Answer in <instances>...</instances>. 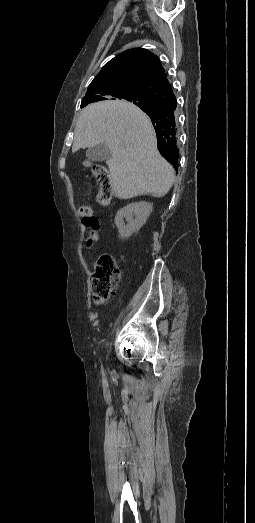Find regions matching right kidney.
Instances as JSON below:
<instances>
[{"label":"right kidney","instance_id":"obj_1","mask_svg":"<svg viewBox=\"0 0 255 523\" xmlns=\"http://www.w3.org/2000/svg\"><path fill=\"white\" fill-rule=\"evenodd\" d=\"M152 208V204H148V202H135V204H128L125 208H121L115 216V224L119 230L120 238L124 240V238H129L134 232L140 230L141 226L149 218ZM124 218L128 222L126 226Z\"/></svg>","mask_w":255,"mask_h":523}]
</instances>
